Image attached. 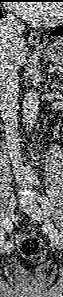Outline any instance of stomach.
I'll use <instances>...</instances> for the list:
<instances>
[{"label":"stomach","mask_w":63,"mask_h":297,"mask_svg":"<svg viewBox=\"0 0 63 297\" xmlns=\"http://www.w3.org/2000/svg\"><path fill=\"white\" fill-rule=\"evenodd\" d=\"M39 51L47 60L63 65V39H59L50 47Z\"/></svg>","instance_id":"1"}]
</instances>
